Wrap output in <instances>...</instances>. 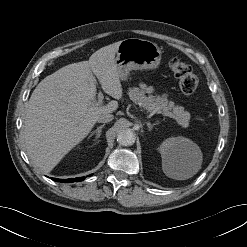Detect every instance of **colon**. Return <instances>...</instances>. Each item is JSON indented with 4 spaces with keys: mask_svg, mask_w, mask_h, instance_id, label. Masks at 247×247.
Listing matches in <instances>:
<instances>
[{
    "mask_svg": "<svg viewBox=\"0 0 247 247\" xmlns=\"http://www.w3.org/2000/svg\"><path fill=\"white\" fill-rule=\"evenodd\" d=\"M171 72L178 79L179 87L185 94H193L198 86V80L191 67L174 57L169 61Z\"/></svg>",
    "mask_w": 247,
    "mask_h": 247,
    "instance_id": "colon-1",
    "label": "colon"
}]
</instances>
